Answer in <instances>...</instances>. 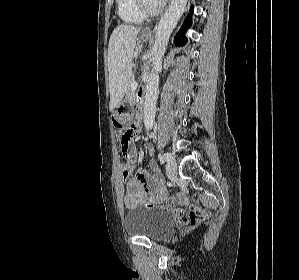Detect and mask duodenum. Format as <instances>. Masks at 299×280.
<instances>
[{
    "label": "duodenum",
    "instance_id": "410a0bca",
    "mask_svg": "<svg viewBox=\"0 0 299 280\" xmlns=\"http://www.w3.org/2000/svg\"><path fill=\"white\" fill-rule=\"evenodd\" d=\"M137 100H138V104H139V107H140L141 111H144L145 103H144V96H143V94L139 93V95L137 97Z\"/></svg>",
    "mask_w": 299,
    "mask_h": 280
}]
</instances>
